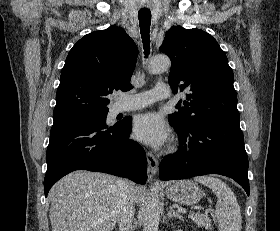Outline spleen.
Segmentation results:
<instances>
[{"instance_id": "3e777b00", "label": "spleen", "mask_w": 280, "mask_h": 231, "mask_svg": "<svg viewBox=\"0 0 280 231\" xmlns=\"http://www.w3.org/2000/svg\"><path fill=\"white\" fill-rule=\"evenodd\" d=\"M194 179L211 187L217 195L218 201L215 211L219 231H241V211L232 189L224 181L218 177H212V175H199Z\"/></svg>"}]
</instances>
